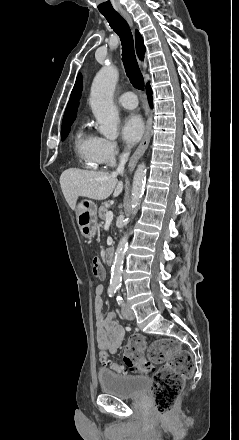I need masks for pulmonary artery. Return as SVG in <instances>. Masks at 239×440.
Returning a JSON list of instances; mask_svg holds the SVG:
<instances>
[{"instance_id": "e3ab8cb5", "label": "pulmonary artery", "mask_w": 239, "mask_h": 440, "mask_svg": "<svg viewBox=\"0 0 239 440\" xmlns=\"http://www.w3.org/2000/svg\"><path fill=\"white\" fill-rule=\"evenodd\" d=\"M118 103L127 109H134L138 105L136 95L133 92H126L120 95L118 97Z\"/></svg>"}]
</instances>
